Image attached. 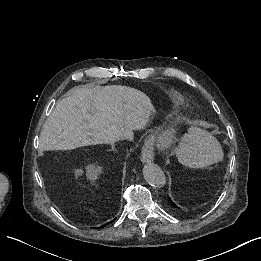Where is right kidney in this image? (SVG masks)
Instances as JSON below:
<instances>
[{
    "label": "right kidney",
    "instance_id": "obj_1",
    "mask_svg": "<svg viewBox=\"0 0 261 261\" xmlns=\"http://www.w3.org/2000/svg\"><path fill=\"white\" fill-rule=\"evenodd\" d=\"M101 171L100 168L95 169L94 166L87 167V178L89 180H94L97 174ZM82 171L77 170L75 175H80Z\"/></svg>",
    "mask_w": 261,
    "mask_h": 261
}]
</instances>
